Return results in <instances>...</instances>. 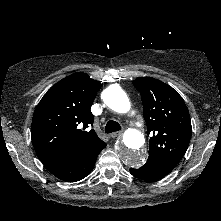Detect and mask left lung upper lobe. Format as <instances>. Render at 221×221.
Here are the masks:
<instances>
[{
	"label": "left lung upper lobe",
	"mask_w": 221,
	"mask_h": 221,
	"mask_svg": "<svg viewBox=\"0 0 221 221\" xmlns=\"http://www.w3.org/2000/svg\"><path fill=\"white\" fill-rule=\"evenodd\" d=\"M141 94L149 157L169 173L184 156L192 133L188 108L171 86L152 77L132 81Z\"/></svg>",
	"instance_id": "1"
}]
</instances>
